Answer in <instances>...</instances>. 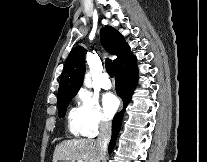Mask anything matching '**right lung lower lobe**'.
Segmentation results:
<instances>
[{
	"instance_id": "1",
	"label": "right lung lower lobe",
	"mask_w": 207,
	"mask_h": 162,
	"mask_svg": "<svg viewBox=\"0 0 207 162\" xmlns=\"http://www.w3.org/2000/svg\"><path fill=\"white\" fill-rule=\"evenodd\" d=\"M116 92L124 102V109L131 100V96L137 83V65L134 57L129 62L115 70ZM124 111L118 112L112 122V137L108 151L111 152L120 130Z\"/></svg>"
}]
</instances>
